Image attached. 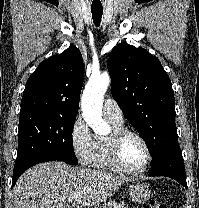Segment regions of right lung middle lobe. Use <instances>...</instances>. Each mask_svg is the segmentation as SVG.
<instances>
[{
  "mask_svg": "<svg viewBox=\"0 0 199 208\" xmlns=\"http://www.w3.org/2000/svg\"><path fill=\"white\" fill-rule=\"evenodd\" d=\"M76 115L32 111L20 113L18 153L14 171L32 162L55 159L76 165L72 131Z\"/></svg>",
  "mask_w": 199,
  "mask_h": 208,
  "instance_id": "obj_1",
  "label": "right lung middle lobe"
}]
</instances>
